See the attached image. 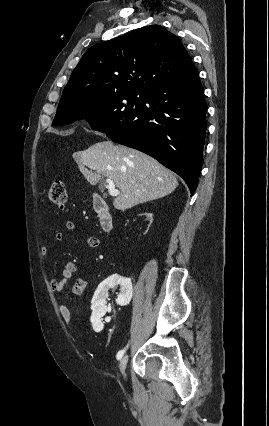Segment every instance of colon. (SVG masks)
Here are the masks:
<instances>
[{"mask_svg":"<svg viewBox=\"0 0 269 426\" xmlns=\"http://www.w3.org/2000/svg\"><path fill=\"white\" fill-rule=\"evenodd\" d=\"M49 201L60 208H63L67 201L66 187L62 181L52 183L49 190Z\"/></svg>","mask_w":269,"mask_h":426,"instance_id":"1","label":"colon"}]
</instances>
